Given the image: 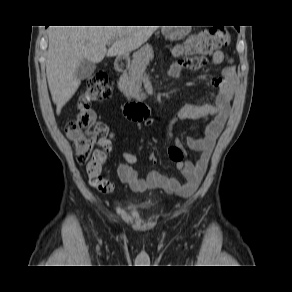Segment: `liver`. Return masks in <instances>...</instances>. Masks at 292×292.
<instances>
[{
	"instance_id": "obj_1",
	"label": "liver",
	"mask_w": 292,
	"mask_h": 292,
	"mask_svg": "<svg viewBox=\"0 0 292 292\" xmlns=\"http://www.w3.org/2000/svg\"><path fill=\"white\" fill-rule=\"evenodd\" d=\"M156 29V26H51L46 75L57 114L80 85L75 72L83 60L99 63L105 56H127L146 43ZM109 42L113 44L107 50Z\"/></svg>"
}]
</instances>
